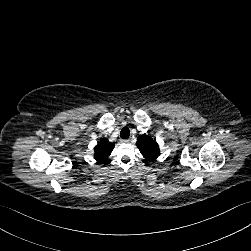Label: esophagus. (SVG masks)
<instances>
[{
    "label": "esophagus",
    "instance_id": "1",
    "mask_svg": "<svg viewBox=\"0 0 251 251\" xmlns=\"http://www.w3.org/2000/svg\"><path fill=\"white\" fill-rule=\"evenodd\" d=\"M122 143H127L129 140H121Z\"/></svg>",
    "mask_w": 251,
    "mask_h": 251
}]
</instances>
